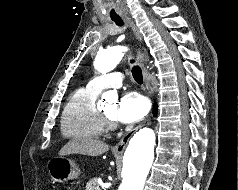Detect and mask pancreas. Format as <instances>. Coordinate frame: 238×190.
Wrapping results in <instances>:
<instances>
[{
  "instance_id": "obj_1",
  "label": "pancreas",
  "mask_w": 238,
  "mask_h": 190,
  "mask_svg": "<svg viewBox=\"0 0 238 190\" xmlns=\"http://www.w3.org/2000/svg\"><path fill=\"white\" fill-rule=\"evenodd\" d=\"M98 188H99L98 180L96 178H93L90 181H88L85 190H98Z\"/></svg>"
}]
</instances>
